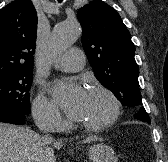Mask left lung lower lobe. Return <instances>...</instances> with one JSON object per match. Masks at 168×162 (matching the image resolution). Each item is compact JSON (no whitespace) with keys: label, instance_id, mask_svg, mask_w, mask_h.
<instances>
[{"label":"left lung lower lobe","instance_id":"0a47b994","mask_svg":"<svg viewBox=\"0 0 168 162\" xmlns=\"http://www.w3.org/2000/svg\"><path fill=\"white\" fill-rule=\"evenodd\" d=\"M141 115H143L144 117L139 116L138 113L135 114L134 117L142 122L150 123V117L148 118V116H146V113L143 112Z\"/></svg>","mask_w":168,"mask_h":162}]
</instances>
